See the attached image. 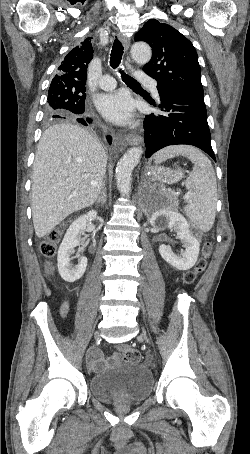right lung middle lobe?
Wrapping results in <instances>:
<instances>
[{
  "instance_id": "right-lung-middle-lobe-1",
  "label": "right lung middle lobe",
  "mask_w": 250,
  "mask_h": 454,
  "mask_svg": "<svg viewBox=\"0 0 250 454\" xmlns=\"http://www.w3.org/2000/svg\"><path fill=\"white\" fill-rule=\"evenodd\" d=\"M85 98V86L74 89L51 86L48 91L45 119L52 121L82 114Z\"/></svg>"
}]
</instances>
